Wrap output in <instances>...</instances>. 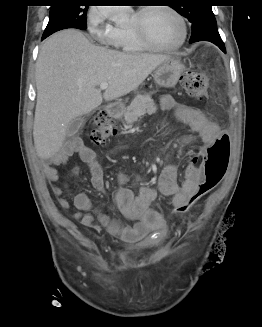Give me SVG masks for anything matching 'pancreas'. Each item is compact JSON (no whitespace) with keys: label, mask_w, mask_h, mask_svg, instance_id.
Returning <instances> with one entry per match:
<instances>
[{"label":"pancreas","mask_w":262,"mask_h":327,"mask_svg":"<svg viewBox=\"0 0 262 327\" xmlns=\"http://www.w3.org/2000/svg\"><path fill=\"white\" fill-rule=\"evenodd\" d=\"M157 106L150 94L138 95L131 104L124 110V121L127 125L136 122L145 114H155Z\"/></svg>","instance_id":"1"}]
</instances>
